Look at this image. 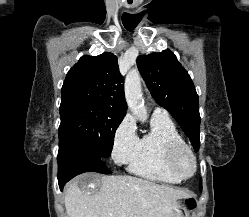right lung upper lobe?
Instances as JSON below:
<instances>
[{
    "instance_id": "cb5924a9",
    "label": "right lung upper lobe",
    "mask_w": 249,
    "mask_h": 217,
    "mask_svg": "<svg viewBox=\"0 0 249 217\" xmlns=\"http://www.w3.org/2000/svg\"><path fill=\"white\" fill-rule=\"evenodd\" d=\"M123 77L112 53L84 55L67 73L62 99H84L126 114Z\"/></svg>"
}]
</instances>
